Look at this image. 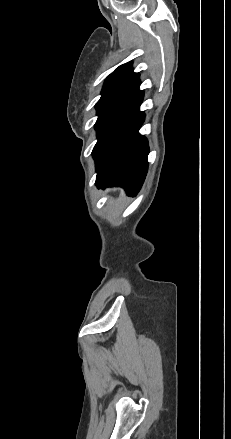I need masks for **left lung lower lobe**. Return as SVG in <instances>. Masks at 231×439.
Here are the masks:
<instances>
[{"instance_id": "1", "label": "left lung lower lobe", "mask_w": 231, "mask_h": 439, "mask_svg": "<svg viewBox=\"0 0 231 439\" xmlns=\"http://www.w3.org/2000/svg\"><path fill=\"white\" fill-rule=\"evenodd\" d=\"M142 99L138 86L95 124L98 141L92 155L98 187L121 186L131 195L140 190L149 153L147 139L138 133L145 117L139 111Z\"/></svg>"}]
</instances>
